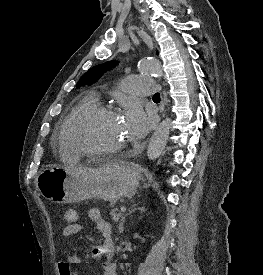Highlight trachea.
Wrapping results in <instances>:
<instances>
[{"label": "trachea", "mask_w": 263, "mask_h": 275, "mask_svg": "<svg viewBox=\"0 0 263 275\" xmlns=\"http://www.w3.org/2000/svg\"><path fill=\"white\" fill-rule=\"evenodd\" d=\"M153 99H160V94H159V93H156V94L153 96Z\"/></svg>", "instance_id": "trachea-1"}]
</instances>
